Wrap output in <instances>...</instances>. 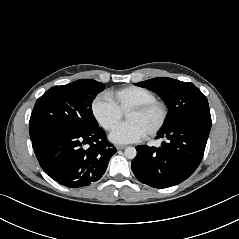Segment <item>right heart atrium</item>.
<instances>
[{
	"label": "right heart atrium",
	"mask_w": 239,
	"mask_h": 239,
	"mask_svg": "<svg viewBox=\"0 0 239 239\" xmlns=\"http://www.w3.org/2000/svg\"><path fill=\"white\" fill-rule=\"evenodd\" d=\"M91 112L96 122L106 131H111L123 116L106 94H100L93 100Z\"/></svg>",
	"instance_id": "1"
}]
</instances>
